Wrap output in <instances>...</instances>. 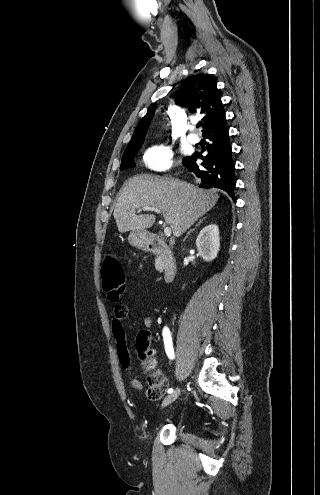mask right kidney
Wrapping results in <instances>:
<instances>
[{"label": "right kidney", "instance_id": "obj_1", "mask_svg": "<svg viewBox=\"0 0 320 495\" xmlns=\"http://www.w3.org/2000/svg\"><path fill=\"white\" fill-rule=\"evenodd\" d=\"M196 246L203 260L209 262L215 259L220 247L218 226L215 224L205 226L196 239Z\"/></svg>", "mask_w": 320, "mask_h": 495}]
</instances>
